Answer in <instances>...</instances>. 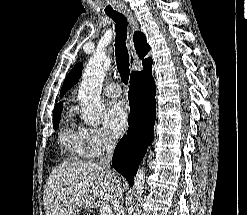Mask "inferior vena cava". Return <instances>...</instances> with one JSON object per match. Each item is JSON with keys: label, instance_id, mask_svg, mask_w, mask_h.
I'll return each mask as SVG.
<instances>
[{"label": "inferior vena cava", "instance_id": "602c4592", "mask_svg": "<svg viewBox=\"0 0 247 215\" xmlns=\"http://www.w3.org/2000/svg\"><path fill=\"white\" fill-rule=\"evenodd\" d=\"M115 146H116V142L112 139H109L105 145L106 156H104L100 160L99 166L109 169ZM113 183L117 186V190L115 192L114 199L112 202L113 208L116 212V215H125V210L120 203V200L123 197L122 194L123 190L121 189L120 185L118 184V181L115 178H113Z\"/></svg>", "mask_w": 247, "mask_h": 215}]
</instances>
